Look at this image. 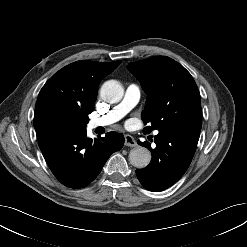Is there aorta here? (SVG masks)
I'll list each match as a JSON object with an SVG mask.
<instances>
[{"instance_id": "obj_1", "label": "aorta", "mask_w": 247, "mask_h": 247, "mask_svg": "<svg viewBox=\"0 0 247 247\" xmlns=\"http://www.w3.org/2000/svg\"><path fill=\"white\" fill-rule=\"evenodd\" d=\"M124 95L122 85L115 80L106 81L100 89L101 98L108 103H118ZM151 160L150 151L142 146L133 148L129 153V161L136 168L146 167Z\"/></svg>"}]
</instances>
